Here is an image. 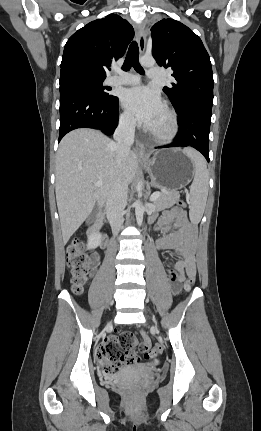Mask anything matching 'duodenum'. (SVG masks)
<instances>
[{"instance_id": "obj_1", "label": "duodenum", "mask_w": 261, "mask_h": 431, "mask_svg": "<svg viewBox=\"0 0 261 431\" xmlns=\"http://www.w3.org/2000/svg\"><path fill=\"white\" fill-rule=\"evenodd\" d=\"M103 219H104V211H100V213H99V219H98V224H97V229L98 230L102 226ZM100 242H101V246L102 247H106V245H107V238H106L105 235H101Z\"/></svg>"}]
</instances>
